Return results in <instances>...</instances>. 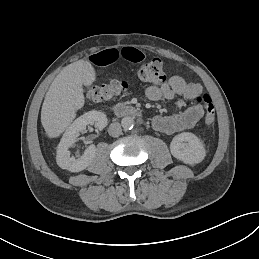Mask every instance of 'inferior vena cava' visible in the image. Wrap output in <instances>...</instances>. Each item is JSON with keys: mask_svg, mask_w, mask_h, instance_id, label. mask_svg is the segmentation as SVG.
<instances>
[{"mask_svg": "<svg viewBox=\"0 0 259 259\" xmlns=\"http://www.w3.org/2000/svg\"><path fill=\"white\" fill-rule=\"evenodd\" d=\"M108 132L110 136L118 137L122 132L121 125L118 122L110 124Z\"/></svg>", "mask_w": 259, "mask_h": 259, "instance_id": "602c4592", "label": "inferior vena cava"}]
</instances>
